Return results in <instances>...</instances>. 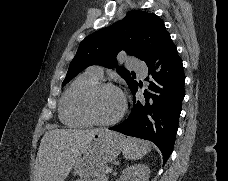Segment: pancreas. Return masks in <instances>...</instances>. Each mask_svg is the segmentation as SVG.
Returning <instances> with one entry per match:
<instances>
[{
	"label": "pancreas",
	"mask_w": 228,
	"mask_h": 181,
	"mask_svg": "<svg viewBox=\"0 0 228 181\" xmlns=\"http://www.w3.org/2000/svg\"><path fill=\"white\" fill-rule=\"evenodd\" d=\"M98 175H100L101 181H104L105 175H107L106 167H104V169H101V171H99ZM83 181H87V179H83Z\"/></svg>",
	"instance_id": "pancreas-1"
}]
</instances>
